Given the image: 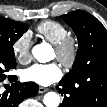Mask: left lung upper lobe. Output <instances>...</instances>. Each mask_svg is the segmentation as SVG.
I'll list each match as a JSON object with an SVG mask.
<instances>
[{
    "label": "left lung upper lobe",
    "mask_w": 107,
    "mask_h": 107,
    "mask_svg": "<svg viewBox=\"0 0 107 107\" xmlns=\"http://www.w3.org/2000/svg\"><path fill=\"white\" fill-rule=\"evenodd\" d=\"M62 17L77 35L79 48L72 71L61 82L74 90L68 97L69 107H83L84 92L80 83L98 77L107 78V31L99 20L83 10Z\"/></svg>",
    "instance_id": "left-lung-upper-lobe-1"
}]
</instances>
